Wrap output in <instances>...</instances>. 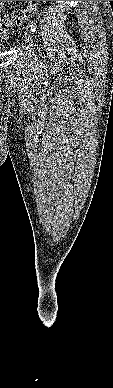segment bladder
Segmentation results:
<instances>
[{
    "label": "bladder",
    "mask_w": 113,
    "mask_h": 388,
    "mask_svg": "<svg viewBox=\"0 0 113 388\" xmlns=\"http://www.w3.org/2000/svg\"><path fill=\"white\" fill-rule=\"evenodd\" d=\"M4 50H5V45L0 42V53H2Z\"/></svg>",
    "instance_id": "obj_1"
}]
</instances>
